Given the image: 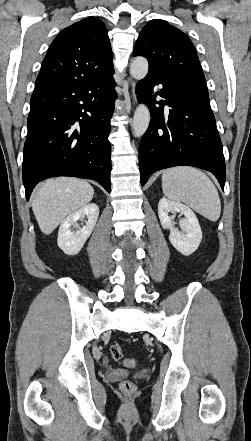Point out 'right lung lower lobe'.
Here are the masks:
<instances>
[{
  "label": "right lung lower lobe",
  "instance_id": "obj_1",
  "mask_svg": "<svg viewBox=\"0 0 251 441\" xmlns=\"http://www.w3.org/2000/svg\"><path fill=\"white\" fill-rule=\"evenodd\" d=\"M113 73L35 87L22 169L27 200L39 181L54 176L96 180L111 192Z\"/></svg>",
  "mask_w": 251,
  "mask_h": 441
}]
</instances>
